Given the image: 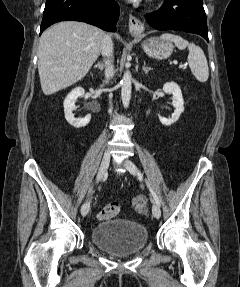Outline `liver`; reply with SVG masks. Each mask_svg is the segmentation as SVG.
I'll list each match as a JSON object with an SVG mask.
<instances>
[{
	"mask_svg": "<svg viewBox=\"0 0 240 287\" xmlns=\"http://www.w3.org/2000/svg\"><path fill=\"white\" fill-rule=\"evenodd\" d=\"M105 34L77 21H64L45 30L40 38L38 72L42 91L54 94L81 80L97 60Z\"/></svg>",
	"mask_w": 240,
	"mask_h": 287,
	"instance_id": "1",
	"label": "liver"
}]
</instances>
